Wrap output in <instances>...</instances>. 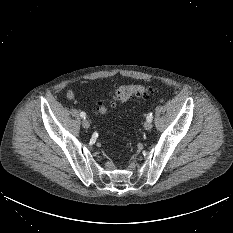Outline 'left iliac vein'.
<instances>
[{"label": "left iliac vein", "instance_id": "obj_1", "mask_svg": "<svg viewBox=\"0 0 233 233\" xmlns=\"http://www.w3.org/2000/svg\"><path fill=\"white\" fill-rule=\"evenodd\" d=\"M144 128H145L146 130H150V129L152 128V123H151L150 121H146V122L144 123Z\"/></svg>", "mask_w": 233, "mask_h": 233}]
</instances>
